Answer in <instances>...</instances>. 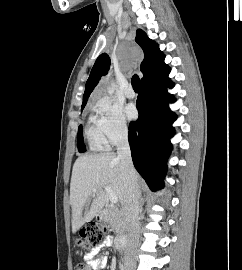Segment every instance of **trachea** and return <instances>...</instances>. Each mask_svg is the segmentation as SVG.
<instances>
[{
    "mask_svg": "<svg viewBox=\"0 0 242 270\" xmlns=\"http://www.w3.org/2000/svg\"><path fill=\"white\" fill-rule=\"evenodd\" d=\"M131 83H132V86H133V89L138 92L139 89H140V79L137 75H134L132 77V80H131Z\"/></svg>",
    "mask_w": 242,
    "mask_h": 270,
    "instance_id": "3493384b",
    "label": "trachea"
}]
</instances>
